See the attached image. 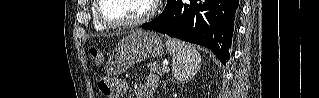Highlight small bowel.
Segmentation results:
<instances>
[{
  "label": "small bowel",
  "mask_w": 319,
  "mask_h": 98,
  "mask_svg": "<svg viewBox=\"0 0 319 98\" xmlns=\"http://www.w3.org/2000/svg\"><path fill=\"white\" fill-rule=\"evenodd\" d=\"M157 86V78L150 76L146 84H139L135 86L136 98H150L151 92Z\"/></svg>",
  "instance_id": "1"
}]
</instances>
